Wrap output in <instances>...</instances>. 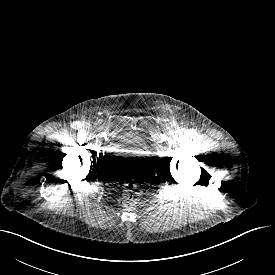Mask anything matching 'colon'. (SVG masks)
<instances>
[{
    "label": "colon",
    "mask_w": 275,
    "mask_h": 275,
    "mask_svg": "<svg viewBox=\"0 0 275 275\" xmlns=\"http://www.w3.org/2000/svg\"><path fill=\"white\" fill-rule=\"evenodd\" d=\"M143 189L137 180H131L124 185L123 193L120 198L121 205L126 209L135 207Z\"/></svg>",
    "instance_id": "1"
}]
</instances>
